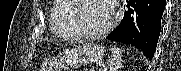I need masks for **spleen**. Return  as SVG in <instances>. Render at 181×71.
Masks as SVG:
<instances>
[{
	"mask_svg": "<svg viewBox=\"0 0 181 71\" xmlns=\"http://www.w3.org/2000/svg\"><path fill=\"white\" fill-rule=\"evenodd\" d=\"M112 56L108 62L109 71H118L122 67L123 62V52L124 50L121 48L113 47L111 48Z\"/></svg>",
	"mask_w": 181,
	"mask_h": 71,
	"instance_id": "1",
	"label": "spleen"
}]
</instances>
